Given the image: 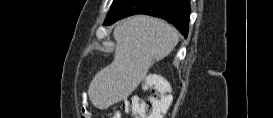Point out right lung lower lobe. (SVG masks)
<instances>
[{"mask_svg": "<svg viewBox=\"0 0 273 118\" xmlns=\"http://www.w3.org/2000/svg\"><path fill=\"white\" fill-rule=\"evenodd\" d=\"M190 13L189 0H123L107 15L104 24L110 25L134 14H148L167 20L187 37Z\"/></svg>", "mask_w": 273, "mask_h": 118, "instance_id": "obj_1", "label": "right lung lower lobe"}]
</instances>
